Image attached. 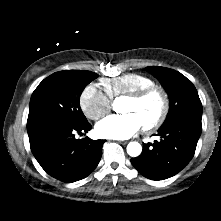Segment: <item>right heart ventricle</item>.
Wrapping results in <instances>:
<instances>
[{
    "instance_id": "right-heart-ventricle-1",
    "label": "right heart ventricle",
    "mask_w": 221,
    "mask_h": 221,
    "mask_svg": "<svg viewBox=\"0 0 221 221\" xmlns=\"http://www.w3.org/2000/svg\"><path fill=\"white\" fill-rule=\"evenodd\" d=\"M101 85L110 99H116L154 85V82L146 75L127 73L114 78H104Z\"/></svg>"
}]
</instances>
